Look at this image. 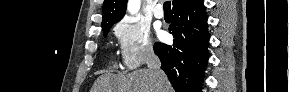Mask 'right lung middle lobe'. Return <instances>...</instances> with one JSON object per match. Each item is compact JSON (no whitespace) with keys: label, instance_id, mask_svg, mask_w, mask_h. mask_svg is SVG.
Masks as SVG:
<instances>
[{"label":"right lung middle lobe","instance_id":"1","mask_svg":"<svg viewBox=\"0 0 289 92\" xmlns=\"http://www.w3.org/2000/svg\"><path fill=\"white\" fill-rule=\"evenodd\" d=\"M112 26H113V24H112V25H108V26L102 28V29H103V35H104V37L107 36V33H108V31L110 30V28H111Z\"/></svg>","mask_w":289,"mask_h":92}]
</instances>
